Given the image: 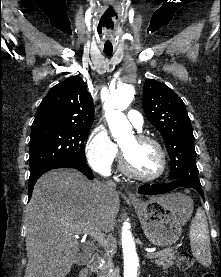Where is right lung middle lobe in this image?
Segmentation results:
<instances>
[{
	"instance_id": "right-lung-middle-lobe-1",
	"label": "right lung middle lobe",
	"mask_w": 221,
	"mask_h": 277,
	"mask_svg": "<svg viewBox=\"0 0 221 277\" xmlns=\"http://www.w3.org/2000/svg\"><path fill=\"white\" fill-rule=\"evenodd\" d=\"M91 126L43 125L32 127L30 177L68 161L86 162L84 141Z\"/></svg>"
}]
</instances>
